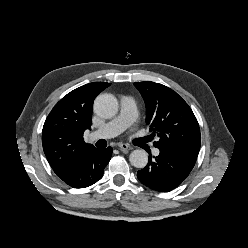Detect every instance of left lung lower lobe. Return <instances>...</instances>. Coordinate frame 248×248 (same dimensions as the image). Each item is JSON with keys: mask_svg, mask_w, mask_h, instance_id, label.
<instances>
[{"mask_svg": "<svg viewBox=\"0 0 248 248\" xmlns=\"http://www.w3.org/2000/svg\"><path fill=\"white\" fill-rule=\"evenodd\" d=\"M196 159L160 150L155 160L149 158L145 168L139 170L137 177L146 187L159 191L169 192L179 186L189 175Z\"/></svg>", "mask_w": 248, "mask_h": 248, "instance_id": "obj_1", "label": "left lung lower lobe"}]
</instances>
